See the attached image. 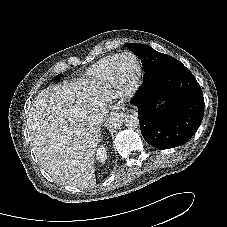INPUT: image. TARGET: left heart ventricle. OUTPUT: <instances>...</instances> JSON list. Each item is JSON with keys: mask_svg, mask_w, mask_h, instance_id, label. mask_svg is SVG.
Returning <instances> with one entry per match:
<instances>
[{"mask_svg": "<svg viewBox=\"0 0 227 227\" xmlns=\"http://www.w3.org/2000/svg\"><path fill=\"white\" fill-rule=\"evenodd\" d=\"M136 69V62L131 57H125L121 63V74L125 79L130 78Z\"/></svg>", "mask_w": 227, "mask_h": 227, "instance_id": "1", "label": "left heart ventricle"}]
</instances>
